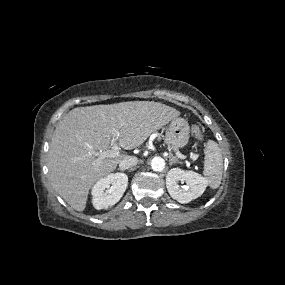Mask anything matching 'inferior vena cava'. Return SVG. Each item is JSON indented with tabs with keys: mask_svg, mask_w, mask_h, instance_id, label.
<instances>
[{
	"mask_svg": "<svg viewBox=\"0 0 285 285\" xmlns=\"http://www.w3.org/2000/svg\"><path fill=\"white\" fill-rule=\"evenodd\" d=\"M138 159L136 157H127L119 162V168L121 170L129 169L135 165H137Z\"/></svg>",
	"mask_w": 285,
	"mask_h": 285,
	"instance_id": "1",
	"label": "inferior vena cava"
}]
</instances>
